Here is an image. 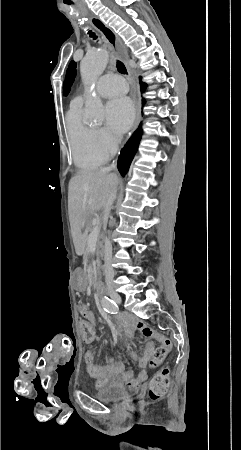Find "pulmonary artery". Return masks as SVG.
Returning a JSON list of instances; mask_svg holds the SVG:
<instances>
[{"label":"pulmonary artery","instance_id":"e3ab8cb5","mask_svg":"<svg viewBox=\"0 0 241 450\" xmlns=\"http://www.w3.org/2000/svg\"><path fill=\"white\" fill-rule=\"evenodd\" d=\"M126 89L125 78H121L120 74H102L97 83L96 92L104 102H117L118 95L126 92ZM84 97V92L79 94L76 102H81Z\"/></svg>","mask_w":241,"mask_h":450}]
</instances>
